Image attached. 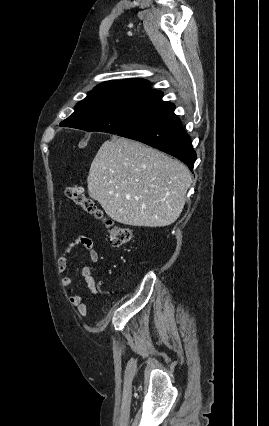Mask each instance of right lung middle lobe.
I'll use <instances>...</instances> for the list:
<instances>
[{
	"label": "right lung middle lobe",
	"instance_id": "1",
	"mask_svg": "<svg viewBox=\"0 0 269 426\" xmlns=\"http://www.w3.org/2000/svg\"><path fill=\"white\" fill-rule=\"evenodd\" d=\"M162 95L161 92L88 94L61 125L118 134L143 120L159 103Z\"/></svg>",
	"mask_w": 269,
	"mask_h": 426
}]
</instances>
